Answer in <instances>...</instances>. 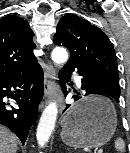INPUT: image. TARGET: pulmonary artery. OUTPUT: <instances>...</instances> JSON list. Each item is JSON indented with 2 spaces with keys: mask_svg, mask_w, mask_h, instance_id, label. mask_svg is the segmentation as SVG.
I'll list each match as a JSON object with an SVG mask.
<instances>
[{
  "mask_svg": "<svg viewBox=\"0 0 130 153\" xmlns=\"http://www.w3.org/2000/svg\"><path fill=\"white\" fill-rule=\"evenodd\" d=\"M75 81H76V84H77L78 86L81 85V80H80L79 77H76V78H75Z\"/></svg>",
  "mask_w": 130,
  "mask_h": 153,
  "instance_id": "pulmonary-artery-1",
  "label": "pulmonary artery"
}]
</instances>
